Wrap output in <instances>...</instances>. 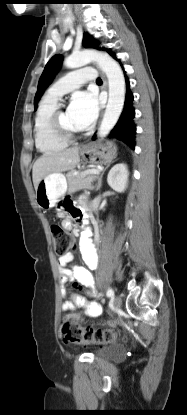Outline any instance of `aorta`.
I'll list each match as a JSON object with an SVG mask.
<instances>
[{"instance_id": "762f6f07", "label": "aorta", "mask_w": 187, "mask_h": 415, "mask_svg": "<svg viewBox=\"0 0 187 415\" xmlns=\"http://www.w3.org/2000/svg\"><path fill=\"white\" fill-rule=\"evenodd\" d=\"M95 62L106 74L109 85V98L106 110L98 129L99 137L107 136L116 125L125 102L126 85L120 65L107 53L97 50H83L65 59V66L70 69L79 68Z\"/></svg>"}]
</instances>
